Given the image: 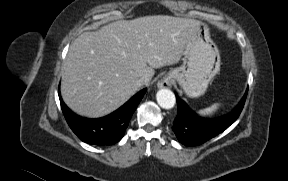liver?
<instances>
[{
  "instance_id": "liver-1",
  "label": "liver",
  "mask_w": 288,
  "mask_h": 181,
  "mask_svg": "<svg viewBox=\"0 0 288 181\" xmlns=\"http://www.w3.org/2000/svg\"><path fill=\"white\" fill-rule=\"evenodd\" d=\"M198 21L168 15L119 20L84 32L70 45L61 94L79 115L101 117L133 96L135 80L148 85L154 69L176 64Z\"/></svg>"
}]
</instances>
